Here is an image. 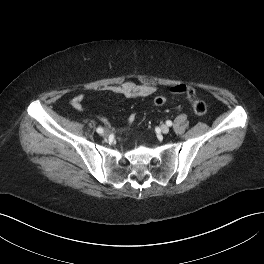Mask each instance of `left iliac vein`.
<instances>
[{
  "label": "left iliac vein",
  "instance_id": "1",
  "mask_svg": "<svg viewBox=\"0 0 264 264\" xmlns=\"http://www.w3.org/2000/svg\"><path fill=\"white\" fill-rule=\"evenodd\" d=\"M161 132L167 134L169 132V127L167 125H162Z\"/></svg>",
  "mask_w": 264,
  "mask_h": 264
}]
</instances>
